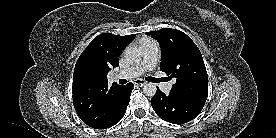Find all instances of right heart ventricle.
Instances as JSON below:
<instances>
[{
    "label": "right heart ventricle",
    "instance_id": "right-heart-ventricle-1",
    "mask_svg": "<svg viewBox=\"0 0 276 138\" xmlns=\"http://www.w3.org/2000/svg\"><path fill=\"white\" fill-rule=\"evenodd\" d=\"M149 40H151V39H145L144 41H149Z\"/></svg>",
    "mask_w": 276,
    "mask_h": 138
}]
</instances>
